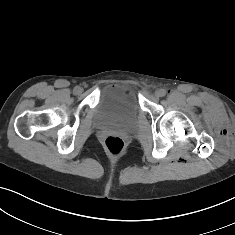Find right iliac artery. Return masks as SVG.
Instances as JSON below:
<instances>
[{
    "mask_svg": "<svg viewBox=\"0 0 235 235\" xmlns=\"http://www.w3.org/2000/svg\"><path fill=\"white\" fill-rule=\"evenodd\" d=\"M77 87H78V86H76V87L74 88V93L76 92V90H77Z\"/></svg>",
    "mask_w": 235,
    "mask_h": 235,
    "instance_id": "obj_1",
    "label": "right iliac artery"
}]
</instances>
